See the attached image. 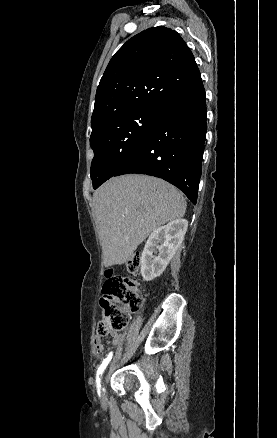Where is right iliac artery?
<instances>
[{"label": "right iliac artery", "mask_w": 277, "mask_h": 438, "mask_svg": "<svg viewBox=\"0 0 277 438\" xmlns=\"http://www.w3.org/2000/svg\"><path fill=\"white\" fill-rule=\"evenodd\" d=\"M112 355H113L112 352H110L109 355L103 360L102 364L100 365V367L97 370L96 384H97V388H98V393H100V387H101L100 375L103 373L104 369L106 368V366L110 362Z\"/></svg>", "instance_id": "right-iliac-artery-1"}]
</instances>
